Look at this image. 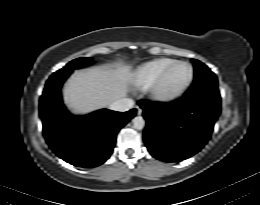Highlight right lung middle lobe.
Returning <instances> with one entry per match:
<instances>
[{
	"mask_svg": "<svg viewBox=\"0 0 260 205\" xmlns=\"http://www.w3.org/2000/svg\"><path fill=\"white\" fill-rule=\"evenodd\" d=\"M91 63H92L91 58H86V57L78 58V59H75V60L69 62L65 67H63L62 69H60L57 72L60 73V72H65V71H71V70L89 65Z\"/></svg>",
	"mask_w": 260,
	"mask_h": 205,
	"instance_id": "right-lung-middle-lobe-1",
	"label": "right lung middle lobe"
}]
</instances>
